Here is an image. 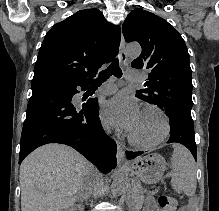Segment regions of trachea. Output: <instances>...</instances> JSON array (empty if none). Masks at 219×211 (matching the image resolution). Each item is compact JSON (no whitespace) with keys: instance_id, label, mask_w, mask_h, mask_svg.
<instances>
[{"instance_id":"trachea-1","label":"trachea","mask_w":219,"mask_h":211,"mask_svg":"<svg viewBox=\"0 0 219 211\" xmlns=\"http://www.w3.org/2000/svg\"><path fill=\"white\" fill-rule=\"evenodd\" d=\"M111 75L121 78L122 71L118 63V59L113 60L111 65L104 71L100 72L99 76L93 82L92 86L102 85Z\"/></svg>"}]
</instances>
